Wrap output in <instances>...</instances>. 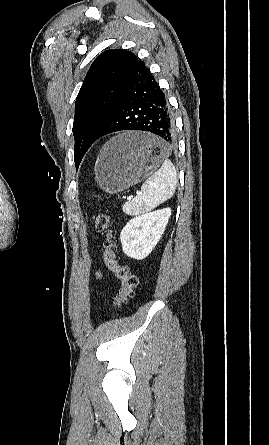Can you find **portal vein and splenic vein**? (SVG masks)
<instances>
[{
	"instance_id": "obj_1",
	"label": "portal vein and splenic vein",
	"mask_w": 269,
	"mask_h": 445,
	"mask_svg": "<svg viewBox=\"0 0 269 445\" xmlns=\"http://www.w3.org/2000/svg\"><path fill=\"white\" fill-rule=\"evenodd\" d=\"M127 199H128V200H131V199H132V196H129Z\"/></svg>"
}]
</instances>
